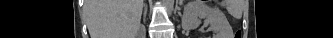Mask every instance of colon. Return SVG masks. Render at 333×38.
Segmentation results:
<instances>
[{
    "instance_id": "colon-1",
    "label": "colon",
    "mask_w": 333,
    "mask_h": 38,
    "mask_svg": "<svg viewBox=\"0 0 333 38\" xmlns=\"http://www.w3.org/2000/svg\"><path fill=\"white\" fill-rule=\"evenodd\" d=\"M235 38H241V32H240V30L236 32Z\"/></svg>"
}]
</instances>
